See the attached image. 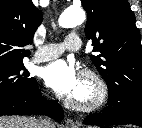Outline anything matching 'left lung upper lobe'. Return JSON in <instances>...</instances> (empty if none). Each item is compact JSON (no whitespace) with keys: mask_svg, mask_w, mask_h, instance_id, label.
<instances>
[{"mask_svg":"<svg viewBox=\"0 0 142 128\" xmlns=\"http://www.w3.org/2000/svg\"><path fill=\"white\" fill-rule=\"evenodd\" d=\"M87 12L85 34L92 39L91 60L109 89L108 106L142 99V45L127 0H81Z\"/></svg>","mask_w":142,"mask_h":128,"instance_id":"5c2ea615","label":"left lung upper lobe"}]
</instances>
